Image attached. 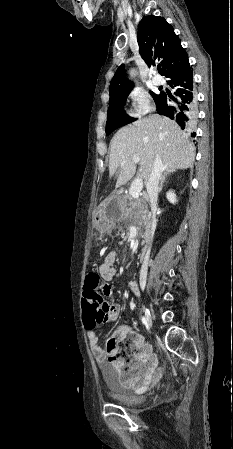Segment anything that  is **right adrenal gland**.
Masks as SVG:
<instances>
[{
	"label": "right adrenal gland",
	"mask_w": 233,
	"mask_h": 449,
	"mask_svg": "<svg viewBox=\"0 0 233 449\" xmlns=\"http://www.w3.org/2000/svg\"><path fill=\"white\" fill-rule=\"evenodd\" d=\"M170 173H171L170 171L166 170V171L164 172V174L162 175L161 180H160V185H159V192L162 191L163 184H164V182H165V180H166V177H167V175H169Z\"/></svg>",
	"instance_id": "1"
}]
</instances>
